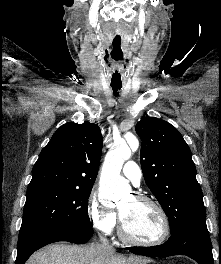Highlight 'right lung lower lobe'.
I'll use <instances>...</instances> for the list:
<instances>
[{
    "instance_id": "1",
    "label": "right lung lower lobe",
    "mask_w": 221,
    "mask_h": 264,
    "mask_svg": "<svg viewBox=\"0 0 221 264\" xmlns=\"http://www.w3.org/2000/svg\"><path fill=\"white\" fill-rule=\"evenodd\" d=\"M93 236V229L79 230H46L25 233L18 238L17 259L15 264H24L39 248L58 241H68L76 244L87 243Z\"/></svg>"
}]
</instances>
